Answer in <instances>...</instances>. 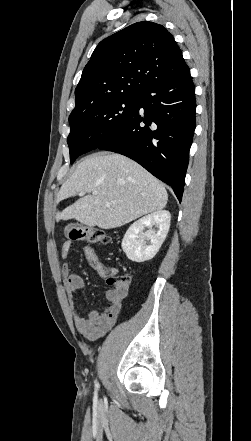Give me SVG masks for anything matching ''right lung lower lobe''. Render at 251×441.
<instances>
[{
	"label": "right lung lower lobe",
	"instance_id": "1",
	"mask_svg": "<svg viewBox=\"0 0 251 441\" xmlns=\"http://www.w3.org/2000/svg\"><path fill=\"white\" fill-rule=\"evenodd\" d=\"M195 86L188 66L141 95L126 125L98 147L125 155L170 185L181 201L196 126Z\"/></svg>",
	"mask_w": 251,
	"mask_h": 441
}]
</instances>
